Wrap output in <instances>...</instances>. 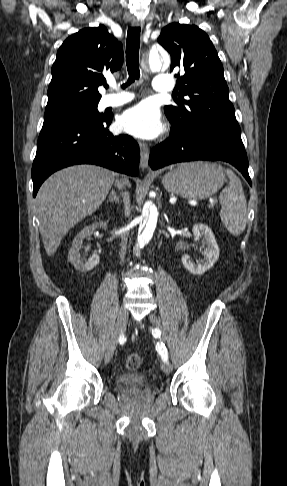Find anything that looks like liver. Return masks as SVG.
I'll list each match as a JSON object with an SVG mask.
<instances>
[{
  "mask_svg": "<svg viewBox=\"0 0 287 486\" xmlns=\"http://www.w3.org/2000/svg\"><path fill=\"white\" fill-rule=\"evenodd\" d=\"M114 178V173L105 168L75 165L56 172L42 184L35 202L48 256L56 252L74 225L100 207ZM121 182L130 186L125 178Z\"/></svg>",
  "mask_w": 287,
  "mask_h": 486,
  "instance_id": "6515ba94",
  "label": "liver"
}]
</instances>
